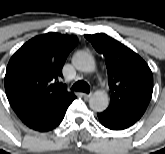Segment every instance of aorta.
<instances>
[{
    "label": "aorta",
    "instance_id": "aorta-1",
    "mask_svg": "<svg viewBox=\"0 0 165 154\" xmlns=\"http://www.w3.org/2000/svg\"><path fill=\"white\" fill-rule=\"evenodd\" d=\"M73 62L79 71L91 73L96 70L94 58L86 52H78L75 55ZM89 104L94 111H104L109 105V97L106 93L97 91L92 95Z\"/></svg>",
    "mask_w": 165,
    "mask_h": 154
}]
</instances>
